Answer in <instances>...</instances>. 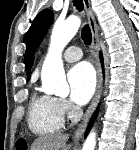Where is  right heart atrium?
<instances>
[{
	"label": "right heart atrium",
	"mask_w": 139,
	"mask_h": 150,
	"mask_svg": "<svg viewBox=\"0 0 139 150\" xmlns=\"http://www.w3.org/2000/svg\"><path fill=\"white\" fill-rule=\"evenodd\" d=\"M59 106L63 113L72 114L74 112L73 107L64 99H58Z\"/></svg>",
	"instance_id": "d8ad5b80"
}]
</instances>
